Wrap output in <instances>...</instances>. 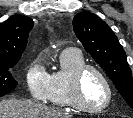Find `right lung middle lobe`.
<instances>
[{
	"mask_svg": "<svg viewBox=\"0 0 133 118\" xmlns=\"http://www.w3.org/2000/svg\"><path fill=\"white\" fill-rule=\"evenodd\" d=\"M17 62L18 60H0V97L17 86V81L11 75V70Z\"/></svg>",
	"mask_w": 133,
	"mask_h": 118,
	"instance_id": "right-lung-middle-lobe-1",
	"label": "right lung middle lobe"
}]
</instances>
